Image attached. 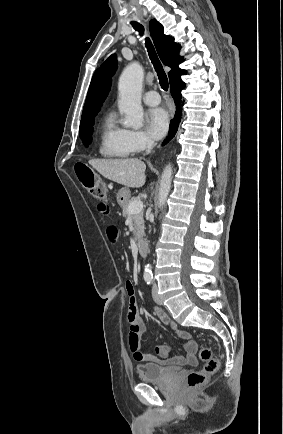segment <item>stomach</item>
<instances>
[{"mask_svg":"<svg viewBox=\"0 0 283 434\" xmlns=\"http://www.w3.org/2000/svg\"><path fill=\"white\" fill-rule=\"evenodd\" d=\"M130 200V191L128 188H121L117 193V202L122 207Z\"/></svg>","mask_w":283,"mask_h":434,"instance_id":"obj_1","label":"stomach"}]
</instances>
